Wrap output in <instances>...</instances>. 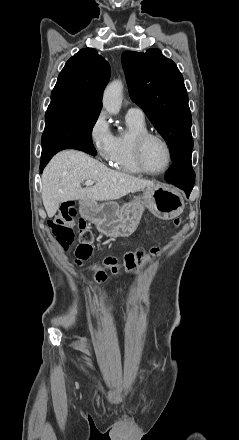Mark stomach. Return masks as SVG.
<instances>
[{
    "instance_id": "0dacf381",
    "label": "stomach",
    "mask_w": 239,
    "mask_h": 440,
    "mask_svg": "<svg viewBox=\"0 0 239 440\" xmlns=\"http://www.w3.org/2000/svg\"><path fill=\"white\" fill-rule=\"evenodd\" d=\"M148 208L159 220H174L182 214L185 204L178 190L172 188H146L142 196H134L132 202L119 206L117 202H96L79 200V212L82 218L95 224L100 234L108 238H128L139 226L141 216Z\"/></svg>"
}]
</instances>
